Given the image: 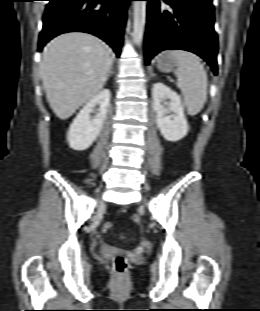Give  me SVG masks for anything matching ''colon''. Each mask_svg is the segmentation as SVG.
I'll return each mask as SVG.
<instances>
[{
  "label": "colon",
  "instance_id": "obj_1",
  "mask_svg": "<svg viewBox=\"0 0 260 311\" xmlns=\"http://www.w3.org/2000/svg\"><path fill=\"white\" fill-rule=\"evenodd\" d=\"M112 227V223L106 222L102 226V231L107 233L112 229ZM112 267L117 273H123L127 268V260L121 254H116L112 258Z\"/></svg>",
  "mask_w": 260,
  "mask_h": 311
}]
</instances>
